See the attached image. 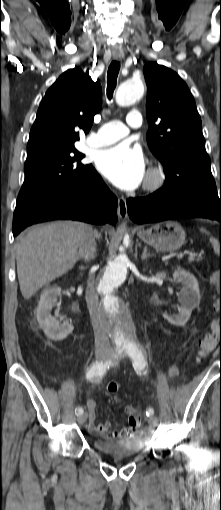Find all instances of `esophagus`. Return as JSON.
I'll use <instances>...</instances> for the list:
<instances>
[{
	"instance_id": "esophagus-1",
	"label": "esophagus",
	"mask_w": 221,
	"mask_h": 510,
	"mask_svg": "<svg viewBox=\"0 0 221 510\" xmlns=\"http://www.w3.org/2000/svg\"><path fill=\"white\" fill-rule=\"evenodd\" d=\"M113 57L118 59L120 55L119 53H113ZM118 216L121 220H125L127 218V203L123 196L118 200Z\"/></svg>"
}]
</instances>
